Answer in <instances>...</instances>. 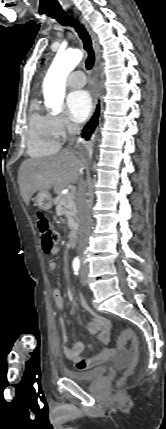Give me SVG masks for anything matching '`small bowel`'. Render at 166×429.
<instances>
[{"label":"small bowel","mask_w":166,"mask_h":429,"mask_svg":"<svg viewBox=\"0 0 166 429\" xmlns=\"http://www.w3.org/2000/svg\"><path fill=\"white\" fill-rule=\"evenodd\" d=\"M59 252L58 247H54L49 253L56 255ZM48 269L54 272L57 269V263L53 260L48 262ZM53 299L55 306L62 310L65 307V297L59 288L53 290ZM81 306L91 315V321L88 323L86 329L89 334L96 335L99 343L108 345L110 342L111 322L95 313L87 304L83 297L79 298ZM60 328L63 341V351L65 356L72 361L75 366L80 370L89 369L91 367L100 365L113 357L126 358L132 354V349H114L105 347L92 356L82 357V352L86 347L81 343H71L67 334V325L63 319L60 320Z\"/></svg>","instance_id":"small-bowel-1"}]
</instances>
